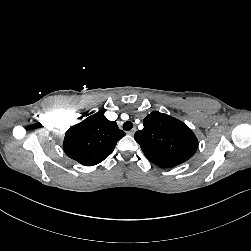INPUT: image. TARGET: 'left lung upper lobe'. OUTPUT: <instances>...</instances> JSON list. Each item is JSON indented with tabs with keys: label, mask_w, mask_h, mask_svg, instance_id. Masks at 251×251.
Returning a JSON list of instances; mask_svg holds the SVG:
<instances>
[{
	"label": "left lung upper lobe",
	"mask_w": 251,
	"mask_h": 251,
	"mask_svg": "<svg viewBox=\"0 0 251 251\" xmlns=\"http://www.w3.org/2000/svg\"><path fill=\"white\" fill-rule=\"evenodd\" d=\"M144 128L135 133L145 156L162 168L177 166L191 158L198 140L192 130L180 120L157 111L143 120Z\"/></svg>",
	"instance_id": "obj_1"
}]
</instances>
